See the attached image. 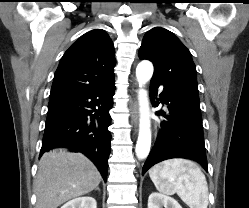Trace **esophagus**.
Listing matches in <instances>:
<instances>
[{
  "mask_svg": "<svg viewBox=\"0 0 249 208\" xmlns=\"http://www.w3.org/2000/svg\"><path fill=\"white\" fill-rule=\"evenodd\" d=\"M131 88L134 96V102L131 105L132 123L136 126L138 123V104L136 101V92L138 90V84L134 78L131 80Z\"/></svg>",
  "mask_w": 249,
  "mask_h": 208,
  "instance_id": "1",
  "label": "esophagus"
}]
</instances>
